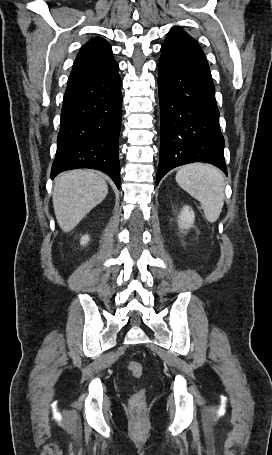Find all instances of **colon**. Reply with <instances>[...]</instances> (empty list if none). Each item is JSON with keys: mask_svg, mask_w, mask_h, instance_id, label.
Returning a JSON list of instances; mask_svg holds the SVG:
<instances>
[{"mask_svg": "<svg viewBox=\"0 0 272 455\" xmlns=\"http://www.w3.org/2000/svg\"><path fill=\"white\" fill-rule=\"evenodd\" d=\"M127 367H128V370L131 372V374L134 377L139 378L142 376L143 367L140 363L132 361V362L128 363ZM143 404H144V391L140 390V391L136 392L131 398V406H132L133 411L135 413H140L143 408Z\"/></svg>", "mask_w": 272, "mask_h": 455, "instance_id": "1", "label": "colon"}]
</instances>
